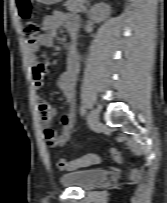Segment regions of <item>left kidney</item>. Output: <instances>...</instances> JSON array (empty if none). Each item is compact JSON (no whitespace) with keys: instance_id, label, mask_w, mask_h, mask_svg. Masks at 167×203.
Masks as SVG:
<instances>
[{"instance_id":"1","label":"left kidney","mask_w":167,"mask_h":203,"mask_svg":"<svg viewBox=\"0 0 167 203\" xmlns=\"http://www.w3.org/2000/svg\"><path fill=\"white\" fill-rule=\"evenodd\" d=\"M110 15V7L106 4L100 3L94 5L89 11V19L96 23L104 21Z\"/></svg>"}]
</instances>
